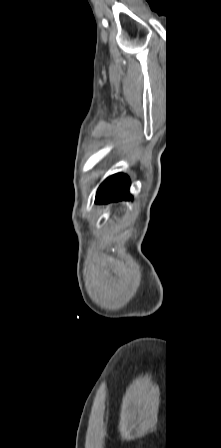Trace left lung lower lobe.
I'll list each match as a JSON object with an SVG mask.
<instances>
[{
  "label": "left lung lower lobe",
  "instance_id": "obj_1",
  "mask_svg": "<svg viewBox=\"0 0 221 448\" xmlns=\"http://www.w3.org/2000/svg\"><path fill=\"white\" fill-rule=\"evenodd\" d=\"M130 180L122 173L108 177L98 188L96 203H109L120 200H130L129 194Z\"/></svg>",
  "mask_w": 221,
  "mask_h": 448
}]
</instances>
